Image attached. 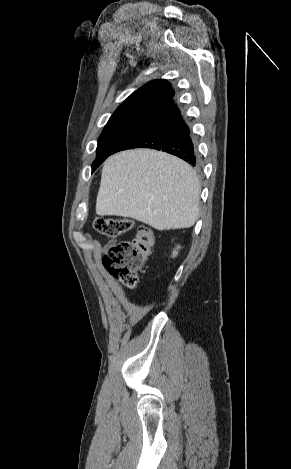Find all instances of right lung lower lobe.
<instances>
[{
    "mask_svg": "<svg viewBox=\"0 0 291 469\" xmlns=\"http://www.w3.org/2000/svg\"><path fill=\"white\" fill-rule=\"evenodd\" d=\"M154 148L199 166L193 134L173 102L126 137L111 153L131 148Z\"/></svg>",
    "mask_w": 291,
    "mask_h": 469,
    "instance_id": "98d812e1",
    "label": "right lung lower lobe"
}]
</instances>
